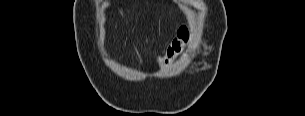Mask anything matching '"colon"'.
I'll list each match as a JSON object with an SVG mask.
<instances>
[{
	"label": "colon",
	"mask_w": 305,
	"mask_h": 116,
	"mask_svg": "<svg viewBox=\"0 0 305 116\" xmlns=\"http://www.w3.org/2000/svg\"><path fill=\"white\" fill-rule=\"evenodd\" d=\"M189 40V32L185 26H181L176 33V37L172 40L163 58L159 61L158 67L164 68L168 66L174 58L180 54L183 47L187 44Z\"/></svg>",
	"instance_id": "1"
}]
</instances>
